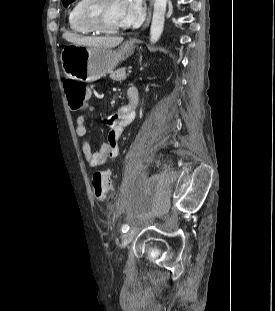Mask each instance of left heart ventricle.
I'll list each match as a JSON object with an SVG mask.
<instances>
[{"label": "left heart ventricle", "mask_w": 275, "mask_h": 311, "mask_svg": "<svg viewBox=\"0 0 275 311\" xmlns=\"http://www.w3.org/2000/svg\"><path fill=\"white\" fill-rule=\"evenodd\" d=\"M101 20L108 27L123 26L122 0H108L102 11Z\"/></svg>", "instance_id": "1"}]
</instances>
